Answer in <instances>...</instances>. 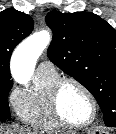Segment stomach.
<instances>
[{"instance_id": "stomach-1", "label": "stomach", "mask_w": 116, "mask_h": 134, "mask_svg": "<svg viewBox=\"0 0 116 134\" xmlns=\"http://www.w3.org/2000/svg\"><path fill=\"white\" fill-rule=\"evenodd\" d=\"M88 134H104V132H101V131H98V130H94V131H91ZM105 134H107V133H105Z\"/></svg>"}]
</instances>
